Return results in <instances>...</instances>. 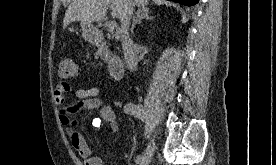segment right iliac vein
Segmentation results:
<instances>
[{"mask_svg": "<svg viewBox=\"0 0 276 165\" xmlns=\"http://www.w3.org/2000/svg\"><path fill=\"white\" fill-rule=\"evenodd\" d=\"M153 155V141H151L144 153V155L142 156L140 162L138 163L139 165H148L151 157Z\"/></svg>", "mask_w": 276, "mask_h": 165, "instance_id": "obj_1", "label": "right iliac vein"}]
</instances>
